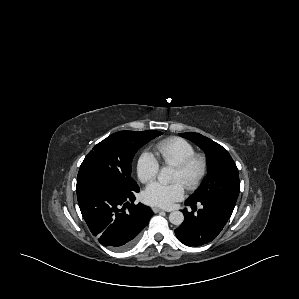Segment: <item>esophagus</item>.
Returning <instances> with one entry per match:
<instances>
[{
    "instance_id": "esophagus-1",
    "label": "esophagus",
    "mask_w": 299,
    "mask_h": 299,
    "mask_svg": "<svg viewBox=\"0 0 299 299\" xmlns=\"http://www.w3.org/2000/svg\"><path fill=\"white\" fill-rule=\"evenodd\" d=\"M152 210H153L154 213H158V212H161V211H165V210L160 209V208H158V207H153Z\"/></svg>"
}]
</instances>
